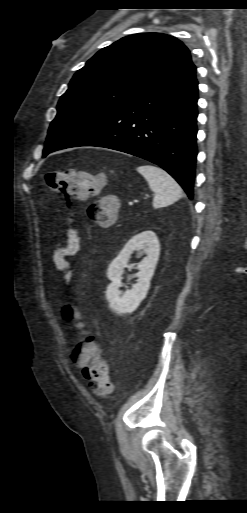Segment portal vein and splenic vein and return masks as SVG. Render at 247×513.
Here are the masks:
<instances>
[{
  "label": "portal vein and splenic vein",
  "mask_w": 247,
  "mask_h": 513,
  "mask_svg": "<svg viewBox=\"0 0 247 513\" xmlns=\"http://www.w3.org/2000/svg\"><path fill=\"white\" fill-rule=\"evenodd\" d=\"M133 204H134V202H132V201H131V202H129V205H133Z\"/></svg>",
  "instance_id": "portal-vein-and-splenic-vein-1"
}]
</instances>
